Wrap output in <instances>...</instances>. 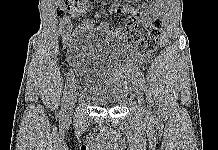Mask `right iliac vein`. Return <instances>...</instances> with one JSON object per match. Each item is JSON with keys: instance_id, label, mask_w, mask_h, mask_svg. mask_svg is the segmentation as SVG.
I'll return each instance as SVG.
<instances>
[{"instance_id": "right-iliac-vein-1", "label": "right iliac vein", "mask_w": 218, "mask_h": 150, "mask_svg": "<svg viewBox=\"0 0 218 150\" xmlns=\"http://www.w3.org/2000/svg\"><path fill=\"white\" fill-rule=\"evenodd\" d=\"M77 96H78V86L74 82L72 84L71 90L69 92V98H68V101H67L65 116H70L71 115V113L73 111V108H74V105H75V102H76V99H77Z\"/></svg>"}]
</instances>
